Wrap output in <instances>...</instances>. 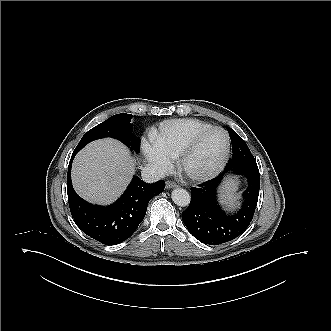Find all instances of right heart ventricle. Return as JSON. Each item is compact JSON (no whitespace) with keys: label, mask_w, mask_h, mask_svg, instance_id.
<instances>
[{"label":"right heart ventricle","mask_w":331,"mask_h":331,"mask_svg":"<svg viewBox=\"0 0 331 331\" xmlns=\"http://www.w3.org/2000/svg\"><path fill=\"white\" fill-rule=\"evenodd\" d=\"M212 125L199 119L183 118L162 122L153 143L171 157H178L187 142Z\"/></svg>","instance_id":"right-heart-ventricle-1"}]
</instances>
